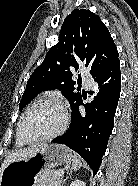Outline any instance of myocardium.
<instances>
[{
	"mask_svg": "<svg viewBox=\"0 0 138 186\" xmlns=\"http://www.w3.org/2000/svg\"><path fill=\"white\" fill-rule=\"evenodd\" d=\"M44 105H53V106H56L62 110L63 123H62L61 127L57 131H55L54 133L49 134L47 136L38 137V138H29V137L25 136V134L23 133V123H24L25 118L33 109L40 107V106H44ZM69 120H70L69 111L62 103H60L59 101L52 99V98L42 99V100L37 101L36 103L32 104L29 108H27L25 110V112L22 114V116L20 118L17 132H18L20 139L27 144L49 141V140H52V139L58 137L66 130Z\"/></svg>",
	"mask_w": 138,
	"mask_h": 186,
	"instance_id": "myocardium-1",
	"label": "myocardium"
}]
</instances>
